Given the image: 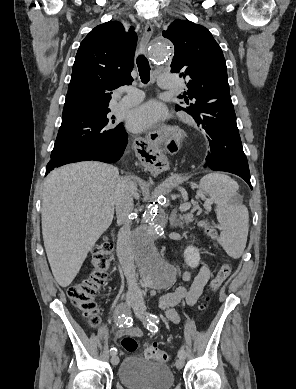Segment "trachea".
<instances>
[{
	"label": "trachea",
	"instance_id": "3493384b",
	"mask_svg": "<svg viewBox=\"0 0 296 389\" xmlns=\"http://www.w3.org/2000/svg\"><path fill=\"white\" fill-rule=\"evenodd\" d=\"M136 63L142 83L147 84L150 80V65L147 58L144 55H139Z\"/></svg>",
	"mask_w": 296,
	"mask_h": 389
}]
</instances>
